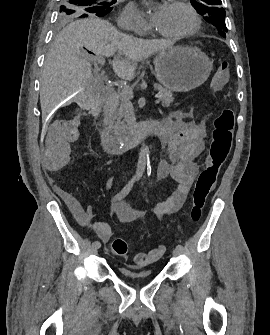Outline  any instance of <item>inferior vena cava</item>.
I'll return each mask as SVG.
<instances>
[{"label":"inferior vena cava","mask_w":270,"mask_h":335,"mask_svg":"<svg viewBox=\"0 0 270 335\" xmlns=\"http://www.w3.org/2000/svg\"><path fill=\"white\" fill-rule=\"evenodd\" d=\"M118 26H123L121 20H118Z\"/></svg>","instance_id":"inferior-vena-cava-1"}]
</instances>
